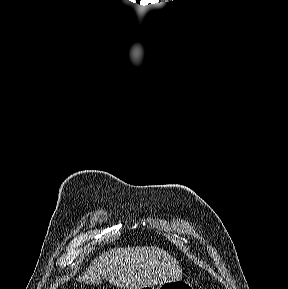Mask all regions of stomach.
Instances as JSON below:
<instances>
[{"label": "stomach", "instance_id": "0dacf381", "mask_svg": "<svg viewBox=\"0 0 288 289\" xmlns=\"http://www.w3.org/2000/svg\"><path fill=\"white\" fill-rule=\"evenodd\" d=\"M147 289H193V287L187 281L180 279L164 282L162 284H159L157 288L150 286L147 287Z\"/></svg>", "mask_w": 288, "mask_h": 289}]
</instances>
